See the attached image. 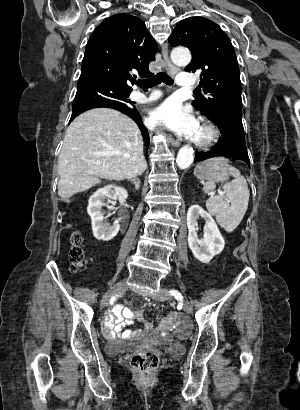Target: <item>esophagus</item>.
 Listing matches in <instances>:
<instances>
[{"label":"esophagus","instance_id":"obj_1","mask_svg":"<svg viewBox=\"0 0 300 410\" xmlns=\"http://www.w3.org/2000/svg\"><path fill=\"white\" fill-rule=\"evenodd\" d=\"M162 57H163V60L165 62V66H166V69L168 70V72L171 75H175L178 72V68L176 66H174L172 64V62L170 61L169 54H168V45H167V43L164 44V46L162 48ZM169 142L174 147H179L180 146V141L173 138V137H170Z\"/></svg>","mask_w":300,"mask_h":410}]
</instances>
